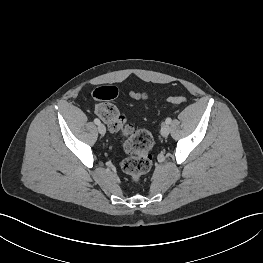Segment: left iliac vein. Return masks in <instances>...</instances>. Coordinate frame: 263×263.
I'll return each mask as SVG.
<instances>
[{
  "instance_id": "left-iliac-vein-1",
  "label": "left iliac vein",
  "mask_w": 263,
  "mask_h": 263,
  "mask_svg": "<svg viewBox=\"0 0 263 263\" xmlns=\"http://www.w3.org/2000/svg\"><path fill=\"white\" fill-rule=\"evenodd\" d=\"M170 133V126L167 123H163L161 126V134L164 137H167Z\"/></svg>"
}]
</instances>
